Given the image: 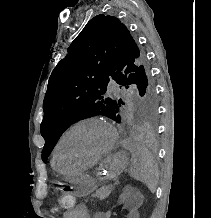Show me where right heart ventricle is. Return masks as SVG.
<instances>
[{
    "mask_svg": "<svg viewBox=\"0 0 211 218\" xmlns=\"http://www.w3.org/2000/svg\"><path fill=\"white\" fill-rule=\"evenodd\" d=\"M53 164H56V161H53Z\"/></svg>",
    "mask_w": 211,
    "mask_h": 218,
    "instance_id": "obj_1",
    "label": "right heart ventricle"
}]
</instances>
